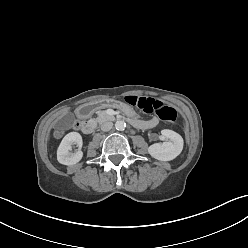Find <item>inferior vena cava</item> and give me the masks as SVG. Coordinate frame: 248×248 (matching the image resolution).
<instances>
[{"label":"inferior vena cava","mask_w":248,"mask_h":248,"mask_svg":"<svg viewBox=\"0 0 248 248\" xmlns=\"http://www.w3.org/2000/svg\"><path fill=\"white\" fill-rule=\"evenodd\" d=\"M113 127V123L110 122V121H107V122H104L102 125H101V130L102 131H109L111 130Z\"/></svg>","instance_id":"obj_1"}]
</instances>
